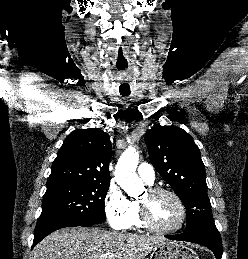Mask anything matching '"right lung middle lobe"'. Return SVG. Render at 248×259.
<instances>
[{"label":"right lung middle lobe","instance_id":"dd1d6c3e","mask_svg":"<svg viewBox=\"0 0 248 259\" xmlns=\"http://www.w3.org/2000/svg\"><path fill=\"white\" fill-rule=\"evenodd\" d=\"M110 183L47 184L38 221L61 219L95 225L106 220L104 200Z\"/></svg>","mask_w":248,"mask_h":259}]
</instances>
